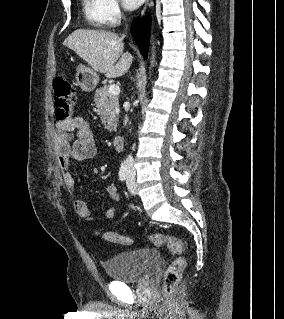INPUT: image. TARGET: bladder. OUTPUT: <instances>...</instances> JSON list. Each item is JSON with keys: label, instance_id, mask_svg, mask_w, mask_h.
I'll return each mask as SVG.
<instances>
[{"label": "bladder", "instance_id": "1", "mask_svg": "<svg viewBox=\"0 0 284 319\" xmlns=\"http://www.w3.org/2000/svg\"><path fill=\"white\" fill-rule=\"evenodd\" d=\"M157 250L141 248L118 253L103 262L108 277L115 281L138 282L149 276L160 265Z\"/></svg>", "mask_w": 284, "mask_h": 319}]
</instances>
